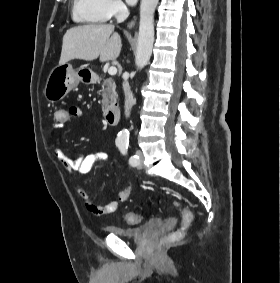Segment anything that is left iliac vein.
Segmentation results:
<instances>
[{
    "label": "left iliac vein",
    "instance_id": "left-iliac-vein-1",
    "mask_svg": "<svg viewBox=\"0 0 280 283\" xmlns=\"http://www.w3.org/2000/svg\"><path fill=\"white\" fill-rule=\"evenodd\" d=\"M136 154L139 157V161H138L136 166H137L138 169H142V167H143V163H142L143 162V153L141 151H137Z\"/></svg>",
    "mask_w": 280,
    "mask_h": 283
}]
</instances>
